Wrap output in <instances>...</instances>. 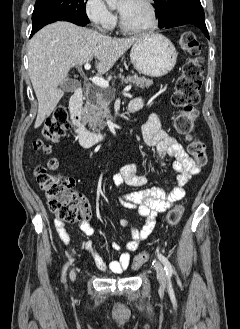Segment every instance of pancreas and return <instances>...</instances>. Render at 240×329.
Masks as SVG:
<instances>
[{"mask_svg": "<svg viewBox=\"0 0 240 329\" xmlns=\"http://www.w3.org/2000/svg\"><path fill=\"white\" fill-rule=\"evenodd\" d=\"M125 83H133L137 87L147 88L153 84L152 79L143 76L133 75L126 78L119 75ZM114 95L103 88L96 87L95 95L91 94L90 90L86 91L85 121L93 132H100L104 129L105 119H112L109 111V104L113 101Z\"/></svg>", "mask_w": 240, "mask_h": 329, "instance_id": "pancreas-1", "label": "pancreas"}]
</instances>
